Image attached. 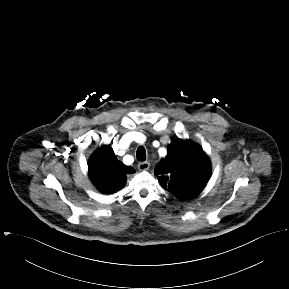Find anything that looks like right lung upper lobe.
Returning a JSON list of instances; mask_svg holds the SVG:
<instances>
[{
	"instance_id": "cb5924a9",
	"label": "right lung upper lobe",
	"mask_w": 289,
	"mask_h": 289,
	"mask_svg": "<svg viewBox=\"0 0 289 289\" xmlns=\"http://www.w3.org/2000/svg\"><path fill=\"white\" fill-rule=\"evenodd\" d=\"M88 167L93 183L107 194L122 188L126 182V174L135 172L116 158L109 145L100 147L91 156Z\"/></svg>"
}]
</instances>
